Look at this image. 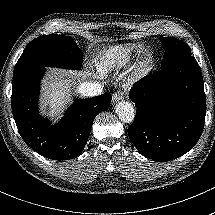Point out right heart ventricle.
Here are the masks:
<instances>
[{"mask_svg":"<svg viewBox=\"0 0 215 215\" xmlns=\"http://www.w3.org/2000/svg\"><path fill=\"white\" fill-rule=\"evenodd\" d=\"M135 49L131 43L116 44L105 49L93 61L96 73L105 76L119 69L129 61Z\"/></svg>","mask_w":215,"mask_h":215,"instance_id":"1","label":"right heart ventricle"}]
</instances>
